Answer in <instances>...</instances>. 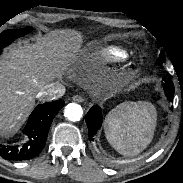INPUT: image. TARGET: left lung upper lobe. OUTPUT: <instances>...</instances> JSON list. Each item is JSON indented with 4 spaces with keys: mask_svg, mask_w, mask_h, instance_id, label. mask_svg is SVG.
<instances>
[{
    "mask_svg": "<svg viewBox=\"0 0 183 183\" xmlns=\"http://www.w3.org/2000/svg\"><path fill=\"white\" fill-rule=\"evenodd\" d=\"M162 62H164V55L161 53L160 54V57L158 58L157 63L161 66L162 65Z\"/></svg>",
    "mask_w": 183,
    "mask_h": 183,
    "instance_id": "1",
    "label": "left lung upper lobe"
}]
</instances>
